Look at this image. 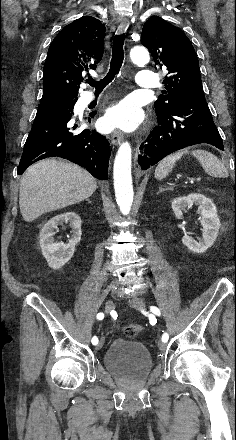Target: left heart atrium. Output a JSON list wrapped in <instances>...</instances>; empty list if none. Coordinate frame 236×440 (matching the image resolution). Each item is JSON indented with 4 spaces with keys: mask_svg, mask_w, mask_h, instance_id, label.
I'll return each instance as SVG.
<instances>
[{
    "mask_svg": "<svg viewBox=\"0 0 236 440\" xmlns=\"http://www.w3.org/2000/svg\"><path fill=\"white\" fill-rule=\"evenodd\" d=\"M103 125L106 129H134L137 125V109L135 105L129 100H123L112 106L104 117Z\"/></svg>",
    "mask_w": 236,
    "mask_h": 440,
    "instance_id": "39dd6f15",
    "label": "left heart atrium"
}]
</instances>
